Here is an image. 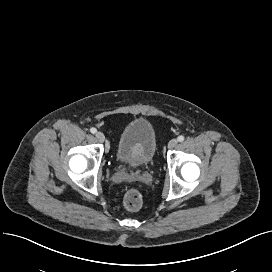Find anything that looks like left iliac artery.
<instances>
[{"instance_id": "44dca946", "label": "left iliac artery", "mask_w": 272, "mask_h": 272, "mask_svg": "<svg viewBox=\"0 0 272 272\" xmlns=\"http://www.w3.org/2000/svg\"><path fill=\"white\" fill-rule=\"evenodd\" d=\"M184 139H185V137H184V136H182V135H180V136L177 138V140H178L179 142L184 141Z\"/></svg>"}]
</instances>
